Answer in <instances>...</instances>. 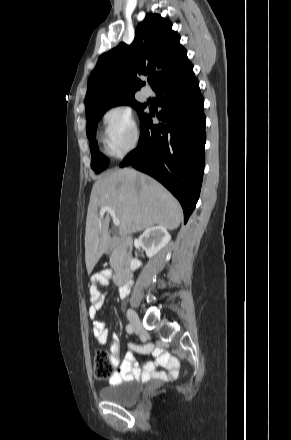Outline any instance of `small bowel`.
Wrapping results in <instances>:
<instances>
[{"label": "small bowel", "mask_w": 291, "mask_h": 440, "mask_svg": "<svg viewBox=\"0 0 291 440\" xmlns=\"http://www.w3.org/2000/svg\"><path fill=\"white\" fill-rule=\"evenodd\" d=\"M112 277V272L105 270L93 278L89 282L90 293V308L89 316L94 319L93 322V337L98 344H105L108 338V329L101 320H97L98 310L105 300V296L98 290V284L106 285L109 278ZM131 284H120V296L126 297L130 291ZM141 352H153L157 354V361H148L144 364V368L141 369L132 353H127L124 360L121 361V342L119 337L114 334L113 341L110 347L109 361L114 369L109 377V384L115 385L122 381L131 380L134 378L146 379L153 377L156 379H167L175 376L179 368V359L176 356H172L164 351L162 348L157 347L153 343L145 344L139 348ZM157 366L165 368L166 371H158Z\"/></svg>", "instance_id": "obj_1"}]
</instances>
